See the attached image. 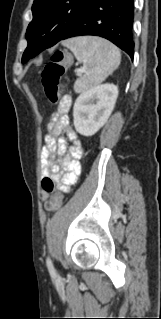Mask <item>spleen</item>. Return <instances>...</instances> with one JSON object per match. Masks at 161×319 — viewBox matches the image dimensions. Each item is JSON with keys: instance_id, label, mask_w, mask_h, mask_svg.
Segmentation results:
<instances>
[{"instance_id": "spleen-1", "label": "spleen", "mask_w": 161, "mask_h": 319, "mask_svg": "<svg viewBox=\"0 0 161 319\" xmlns=\"http://www.w3.org/2000/svg\"><path fill=\"white\" fill-rule=\"evenodd\" d=\"M86 68L74 83V91L83 93L102 83L121 62L119 49L109 41L92 36L76 37L63 42Z\"/></svg>"}]
</instances>
